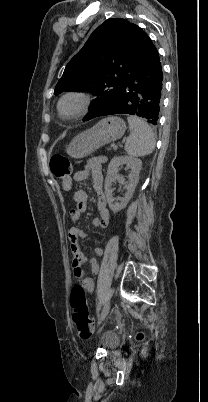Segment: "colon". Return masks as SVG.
Wrapping results in <instances>:
<instances>
[{
	"mask_svg": "<svg viewBox=\"0 0 208 402\" xmlns=\"http://www.w3.org/2000/svg\"><path fill=\"white\" fill-rule=\"evenodd\" d=\"M49 168L53 176L59 180L61 186L70 189L72 184V165L66 156L55 154L49 162ZM71 306L74 310L73 321L77 327L78 334L82 339H88L92 335V320L85 296L84 289L80 285H75L71 294ZM137 338L144 336L142 329L135 331Z\"/></svg>",
	"mask_w": 208,
	"mask_h": 402,
	"instance_id": "5ec220e1",
	"label": "colon"
}]
</instances>
